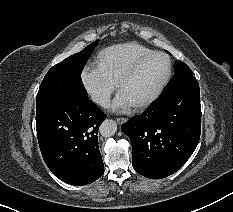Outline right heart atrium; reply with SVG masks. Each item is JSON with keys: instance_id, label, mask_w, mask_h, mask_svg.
Returning <instances> with one entry per match:
<instances>
[{"instance_id": "obj_1", "label": "right heart atrium", "mask_w": 233, "mask_h": 212, "mask_svg": "<svg viewBox=\"0 0 233 212\" xmlns=\"http://www.w3.org/2000/svg\"><path fill=\"white\" fill-rule=\"evenodd\" d=\"M81 84L90 99L100 106H105L117 87L98 64L86 65L80 74Z\"/></svg>"}]
</instances>
